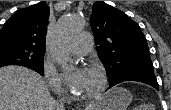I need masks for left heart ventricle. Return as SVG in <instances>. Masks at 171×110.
Wrapping results in <instances>:
<instances>
[{"label": "left heart ventricle", "instance_id": "1", "mask_svg": "<svg viewBox=\"0 0 171 110\" xmlns=\"http://www.w3.org/2000/svg\"><path fill=\"white\" fill-rule=\"evenodd\" d=\"M100 85V78L92 70H86V74L78 86L73 89L74 93L79 96H87L94 93Z\"/></svg>", "mask_w": 171, "mask_h": 110}]
</instances>
